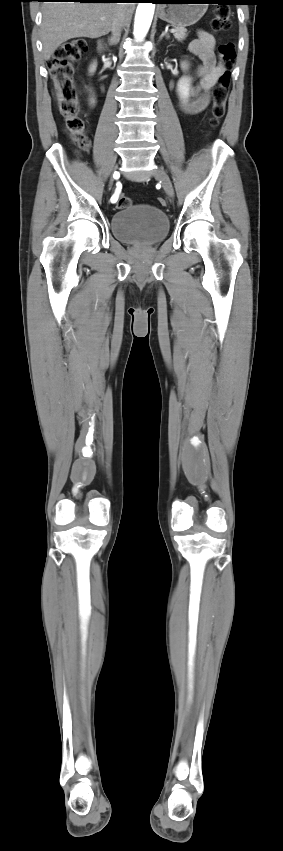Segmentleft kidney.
I'll return each mask as SVG.
<instances>
[{
	"instance_id": "5707ae66",
	"label": "left kidney",
	"mask_w": 283,
	"mask_h": 851,
	"mask_svg": "<svg viewBox=\"0 0 283 851\" xmlns=\"http://www.w3.org/2000/svg\"><path fill=\"white\" fill-rule=\"evenodd\" d=\"M181 68L183 70H187L188 64L186 62H182ZM177 92L181 99H188L190 96V79L188 77L184 76L178 81Z\"/></svg>"
}]
</instances>
